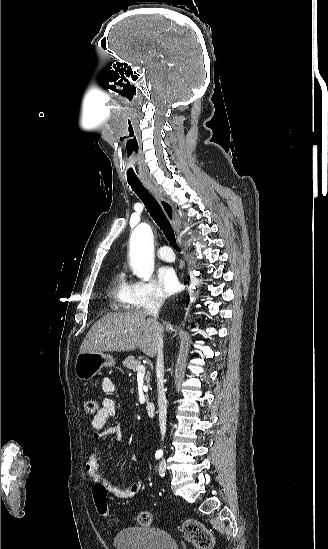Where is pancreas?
Listing matches in <instances>:
<instances>
[{
  "label": "pancreas",
  "mask_w": 328,
  "mask_h": 549,
  "mask_svg": "<svg viewBox=\"0 0 328 549\" xmlns=\"http://www.w3.org/2000/svg\"><path fill=\"white\" fill-rule=\"evenodd\" d=\"M123 365H124V367H126V369H132V371H134V373H135V371H137L138 367H140V361H137V359H135V357H127V359H125V361H123ZM145 381L147 383V387H151V385H150V371H147ZM145 401H146V403H148V401H149L148 395H146Z\"/></svg>",
  "instance_id": "obj_1"
}]
</instances>
